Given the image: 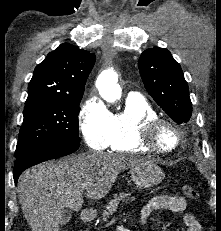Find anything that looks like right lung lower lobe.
<instances>
[{
	"label": "right lung lower lobe",
	"instance_id": "1",
	"mask_svg": "<svg viewBox=\"0 0 221 231\" xmlns=\"http://www.w3.org/2000/svg\"><path fill=\"white\" fill-rule=\"evenodd\" d=\"M78 147L73 145L41 146L24 153L15 159L14 162L13 178L15 184H17L20 174L27 168L47 160L71 154L76 151Z\"/></svg>",
	"mask_w": 221,
	"mask_h": 231
}]
</instances>
